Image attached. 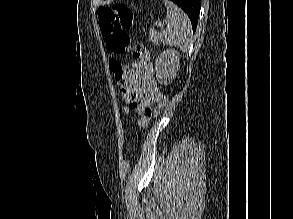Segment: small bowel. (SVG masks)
Segmentation results:
<instances>
[{
  "label": "small bowel",
  "instance_id": "c3829d8e",
  "mask_svg": "<svg viewBox=\"0 0 293 219\" xmlns=\"http://www.w3.org/2000/svg\"><path fill=\"white\" fill-rule=\"evenodd\" d=\"M153 73V65L147 60L135 69L128 68L120 81V94L126 108L139 114L138 123L142 127H146L152 117L151 105L162 98Z\"/></svg>",
  "mask_w": 293,
  "mask_h": 219
}]
</instances>
